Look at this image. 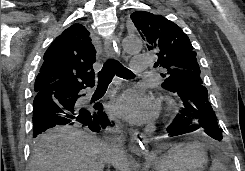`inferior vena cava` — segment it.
Masks as SVG:
<instances>
[{
    "label": "inferior vena cava",
    "mask_w": 245,
    "mask_h": 171,
    "mask_svg": "<svg viewBox=\"0 0 245 171\" xmlns=\"http://www.w3.org/2000/svg\"><path fill=\"white\" fill-rule=\"evenodd\" d=\"M108 132L112 133L110 146L113 151V159L123 160L125 157L122 148L123 142L125 140L123 131H121L119 128H115V129H109Z\"/></svg>",
    "instance_id": "obj_1"
}]
</instances>
